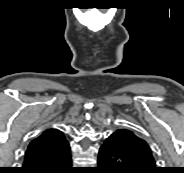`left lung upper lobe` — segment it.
<instances>
[{"instance_id": "obj_1", "label": "left lung upper lobe", "mask_w": 184, "mask_h": 173, "mask_svg": "<svg viewBox=\"0 0 184 173\" xmlns=\"http://www.w3.org/2000/svg\"><path fill=\"white\" fill-rule=\"evenodd\" d=\"M122 133V145L137 161L138 165L149 172L157 173L159 168L153 158L151 149L145 140L127 129L117 130Z\"/></svg>"}]
</instances>
